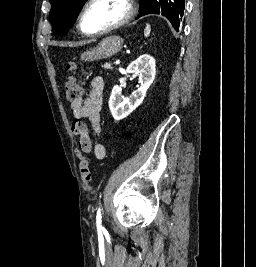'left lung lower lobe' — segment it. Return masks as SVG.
Returning <instances> with one entry per match:
<instances>
[{"label": "left lung lower lobe", "instance_id": "obj_1", "mask_svg": "<svg viewBox=\"0 0 256 267\" xmlns=\"http://www.w3.org/2000/svg\"><path fill=\"white\" fill-rule=\"evenodd\" d=\"M174 1H175V16L171 24L173 25L176 31H179V25L181 17L183 16L185 5H184V0H174Z\"/></svg>", "mask_w": 256, "mask_h": 267}]
</instances>
